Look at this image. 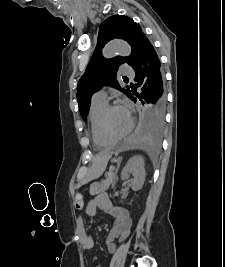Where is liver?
Returning a JSON list of instances; mask_svg holds the SVG:
<instances>
[{
  "label": "liver",
  "instance_id": "1",
  "mask_svg": "<svg viewBox=\"0 0 225 267\" xmlns=\"http://www.w3.org/2000/svg\"><path fill=\"white\" fill-rule=\"evenodd\" d=\"M103 155H104V154H101V155L97 156V158L95 159V162H98V161L102 158ZM101 174H102V173H101ZM101 174H100V175H101ZM90 176H91V177L96 176V174H95V172H94V168H93V170H92Z\"/></svg>",
  "mask_w": 225,
  "mask_h": 267
}]
</instances>
